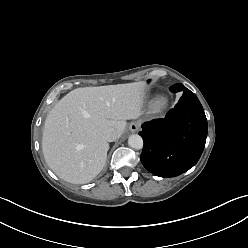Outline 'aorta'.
I'll use <instances>...</instances> for the list:
<instances>
[{
    "label": "aorta",
    "instance_id": "aorta-1",
    "mask_svg": "<svg viewBox=\"0 0 248 248\" xmlns=\"http://www.w3.org/2000/svg\"><path fill=\"white\" fill-rule=\"evenodd\" d=\"M128 145L136 150H140L143 147V139L138 134L130 135L128 138Z\"/></svg>",
    "mask_w": 248,
    "mask_h": 248
}]
</instances>
